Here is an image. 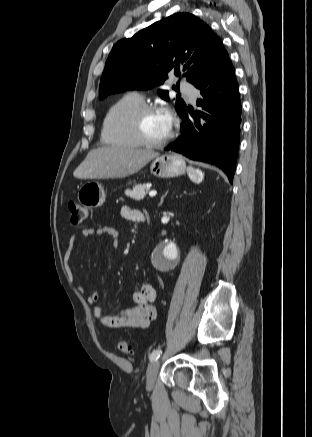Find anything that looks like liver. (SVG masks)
<instances>
[{
	"label": "liver",
	"instance_id": "liver-1",
	"mask_svg": "<svg viewBox=\"0 0 312 437\" xmlns=\"http://www.w3.org/2000/svg\"><path fill=\"white\" fill-rule=\"evenodd\" d=\"M159 154L127 146H103L91 150L73 175L79 179L125 178L137 173Z\"/></svg>",
	"mask_w": 312,
	"mask_h": 437
}]
</instances>
